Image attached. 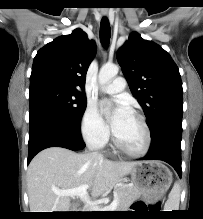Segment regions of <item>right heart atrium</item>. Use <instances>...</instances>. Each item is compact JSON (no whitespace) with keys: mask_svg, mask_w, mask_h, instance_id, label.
<instances>
[{"mask_svg":"<svg viewBox=\"0 0 203 219\" xmlns=\"http://www.w3.org/2000/svg\"><path fill=\"white\" fill-rule=\"evenodd\" d=\"M81 134L84 140L95 147L103 146L109 138V130L94 105H88L81 120Z\"/></svg>","mask_w":203,"mask_h":219,"instance_id":"obj_1","label":"right heart atrium"}]
</instances>
